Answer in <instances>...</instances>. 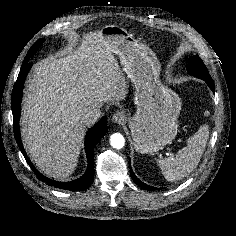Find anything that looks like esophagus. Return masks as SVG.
<instances>
[{
    "mask_svg": "<svg viewBox=\"0 0 236 236\" xmlns=\"http://www.w3.org/2000/svg\"><path fill=\"white\" fill-rule=\"evenodd\" d=\"M112 121L116 124H123L125 121V115L122 112L118 111L113 114Z\"/></svg>",
    "mask_w": 236,
    "mask_h": 236,
    "instance_id": "1",
    "label": "esophagus"
}]
</instances>
